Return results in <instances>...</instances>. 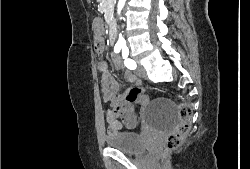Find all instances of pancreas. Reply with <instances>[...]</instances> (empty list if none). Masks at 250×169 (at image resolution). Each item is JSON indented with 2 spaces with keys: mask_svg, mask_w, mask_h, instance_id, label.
Instances as JSON below:
<instances>
[{
  "mask_svg": "<svg viewBox=\"0 0 250 169\" xmlns=\"http://www.w3.org/2000/svg\"><path fill=\"white\" fill-rule=\"evenodd\" d=\"M111 2L112 0H105L104 4L101 6V10H103V12H107V10L110 8Z\"/></svg>",
  "mask_w": 250,
  "mask_h": 169,
  "instance_id": "cf45deb5",
  "label": "pancreas"
}]
</instances>
